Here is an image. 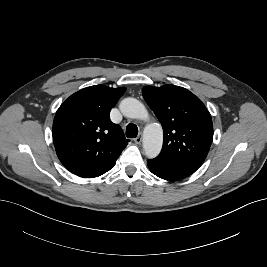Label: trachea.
Segmentation results:
<instances>
[{"label":"trachea","mask_w":267,"mask_h":267,"mask_svg":"<svg viewBox=\"0 0 267 267\" xmlns=\"http://www.w3.org/2000/svg\"><path fill=\"white\" fill-rule=\"evenodd\" d=\"M138 135V128L135 124L130 123L126 127V136L128 138H135Z\"/></svg>","instance_id":"1"}]
</instances>
